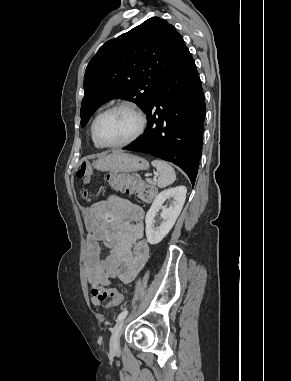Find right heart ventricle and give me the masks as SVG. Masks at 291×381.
I'll return each instance as SVG.
<instances>
[{"label":"right heart ventricle","mask_w":291,"mask_h":381,"mask_svg":"<svg viewBox=\"0 0 291 381\" xmlns=\"http://www.w3.org/2000/svg\"><path fill=\"white\" fill-rule=\"evenodd\" d=\"M91 138H92V141H93V144L96 148H102L101 145L98 144V142L95 140L94 136H93V133H92V126H91Z\"/></svg>","instance_id":"right-heart-ventricle-1"}]
</instances>
